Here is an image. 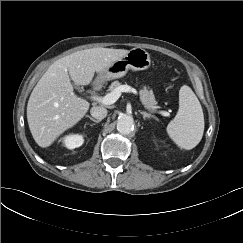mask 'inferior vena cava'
Wrapping results in <instances>:
<instances>
[{"label":"inferior vena cava","instance_id":"1","mask_svg":"<svg viewBox=\"0 0 243 243\" xmlns=\"http://www.w3.org/2000/svg\"><path fill=\"white\" fill-rule=\"evenodd\" d=\"M90 113L94 118L102 120L107 116V109L103 106H93Z\"/></svg>","mask_w":243,"mask_h":243}]
</instances>
